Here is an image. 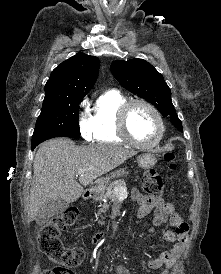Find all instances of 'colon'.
<instances>
[{"label": "colon", "instance_id": "colon-1", "mask_svg": "<svg viewBox=\"0 0 221 274\" xmlns=\"http://www.w3.org/2000/svg\"><path fill=\"white\" fill-rule=\"evenodd\" d=\"M165 159L170 163L171 169L176 168L174 153H166ZM142 186L149 198L159 199L163 194L165 182L158 173L149 171L143 175ZM77 218L78 209L71 207L62 214L52 217L40 227L39 249L56 264V267L46 270L44 274H73V269L83 262V250L79 247H66L60 239L61 232L74 225Z\"/></svg>", "mask_w": 221, "mask_h": 274}]
</instances>
